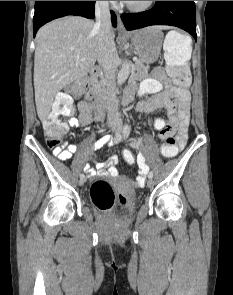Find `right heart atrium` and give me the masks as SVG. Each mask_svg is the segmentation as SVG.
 Here are the masks:
<instances>
[{"mask_svg": "<svg viewBox=\"0 0 233 295\" xmlns=\"http://www.w3.org/2000/svg\"><path fill=\"white\" fill-rule=\"evenodd\" d=\"M100 2H102V3H108V2H112V1H100Z\"/></svg>", "mask_w": 233, "mask_h": 295, "instance_id": "obj_1", "label": "right heart atrium"}]
</instances>
